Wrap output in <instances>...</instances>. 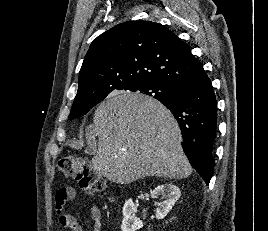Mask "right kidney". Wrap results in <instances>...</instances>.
Returning a JSON list of instances; mask_svg holds the SVG:
<instances>
[{"label":"right kidney","instance_id":"right-kidney-1","mask_svg":"<svg viewBox=\"0 0 268 231\" xmlns=\"http://www.w3.org/2000/svg\"><path fill=\"white\" fill-rule=\"evenodd\" d=\"M162 196L163 202L156 203V219H163L174 206L175 202L180 198V189L173 184H163L157 186L152 192V198ZM135 206L132 199H128L123 207L122 231H136L143 227V222L135 217Z\"/></svg>","mask_w":268,"mask_h":231}]
</instances>
